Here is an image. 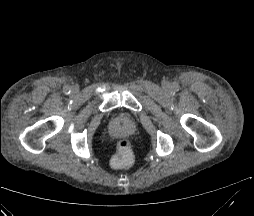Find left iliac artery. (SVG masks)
Listing matches in <instances>:
<instances>
[{"instance_id": "obj_1", "label": "left iliac artery", "mask_w": 254, "mask_h": 216, "mask_svg": "<svg viewBox=\"0 0 254 216\" xmlns=\"http://www.w3.org/2000/svg\"><path fill=\"white\" fill-rule=\"evenodd\" d=\"M173 88H174L175 90H177V89L179 88V85H178V84H174V85H173Z\"/></svg>"}]
</instances>
